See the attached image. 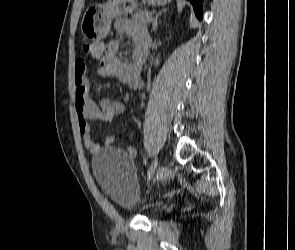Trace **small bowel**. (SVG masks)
Segmentation results:
<instances>
[{"mask_svg": "<svg viewBox=\"0 0 295 250\" xmlns=\"http://www.w3.org/2000/svg\"><path fill=\"white\" fill-rule=\"evenodd\" d=\"M116 31L121 37L132 39L134 49L132 59L121 61L118 56L119 40H112L107 44L99 43L92 56L99 61L97 73L101 76H115L130 88L139 90L143 86L142 66L145 60L149 39L144 30L135 28L126 20L116 24ZM88 69L84 60L79 59L75 65V106L78 118L79 131L83 137L85 148L91 153L99 150L91 133V120L110 121L121 114L124 105L120 101L106 97H95L91 94V84L88 81ZM114 137H104L103 144L110 146ZM128 154L136 156L133 148H128Z\"/></svg>", "mask_w": 295, "mask_h": 250, "instance_id": "c3829d8e", "label": "small bowel"}]
</instances>
